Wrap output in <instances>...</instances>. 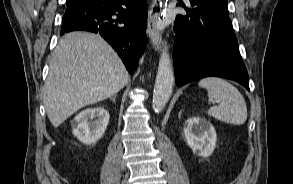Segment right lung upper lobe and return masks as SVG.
<instances>
[{
	"label": "right lung upper lobe",
	"instance_id": "obj_1",
	"mask_svg": "<svg viewBox=\"0 0 293 184\" xmlns=\"http://www.w3.org/2000/svg\"><path fill=\"white\" fill-rule=\"evenodd\" d=\"M89 0H67V10L81 6L83 3Z\"/></svg>",
	"mask_w": 293,
	"mask_h": 184
}]
</instances>
